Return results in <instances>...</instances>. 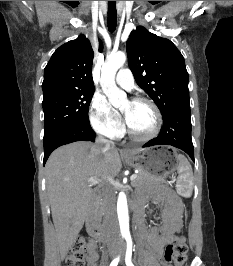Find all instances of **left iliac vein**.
Instances as JSON below:
<instances>
[{"instance_id":"1","label":"left iliac vein","mask_w":233,"mask_h":266,"mask_svg":"<svg viewBox=\"0 0 233 266\" xmlns=\"http://www.w3.org/2000/svg\"><path fill=\"white\" fill-rule=\"evenodd\" d=\"M121 250H122V252L124 253V247H122V249H121Z\"/></svg>"}]
</instances>
